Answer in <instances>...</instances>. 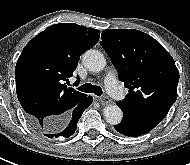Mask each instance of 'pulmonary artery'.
Masks as SVG:
<instances>
[{
    "label": "pulmonary artery",
    "instance_id": "pulmonary-artery-1",
    "mask_svg": "<svg viewBox=\"0 0 190 165\" xmlns=\"http://www.w3.org/2000/svg\"><path fill=\"white\" fill-rule=\"evenodd\" d=\"M104 82L106 90L111 96L115 98H120L122 96V90L119 87L116 76L113 73H108Z\"/></svg>",
    "mask_w": 190,
    "mask_h": 165
}]
</instances>
